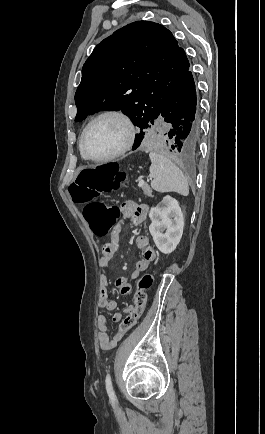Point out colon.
Returning <instances> with one entry per match:
<instances>
[{
	"label": "colon",
	"mask_w": 265,
	"mask_h": 434,
	"mask_svg": "<svg viewBox=\"0 0 265 434\" xmlns=\"http://www.w3.org/2000/svg\"><path fill=\"white\" fill-rule=\"evenodd\" d=\"M124 173L117 167V160L111 159L110 164H87L80 168L77 178L68 184L67 191L72 194L73 202H83V215L92 232L98 237L110 234L112 228L120 217L115 203L96 199L101 192L117 191L124 180ZM154 282L150 272L136 281L134 311L131 319H122L116 331L115 338L121 340L125 334L136 327L147 305L146 290ZM113 343V342H112Z\"/></svg>",
	"instance_id": "colon-1"
}]
</instances>
